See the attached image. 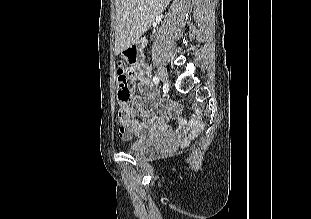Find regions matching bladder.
I'll return each instance as SVG.
<instances>
[{"mask_svg":"<svg viewBox=\"0 0 311 219\" xmlns=\"http://www.w3.org/2000/svg\"><path fill=\"white\" fill-rule=\"evenodd\" d=\"M153 149V142L135 141L129 147V152L132 155H145Z\"/></svg>","mask_w":311,"mask_h":219,"instance_id":"obj_1","label":"bladder"}]
</instances>
